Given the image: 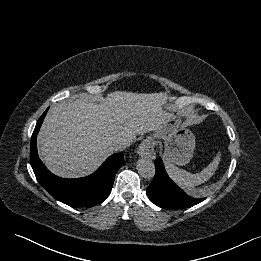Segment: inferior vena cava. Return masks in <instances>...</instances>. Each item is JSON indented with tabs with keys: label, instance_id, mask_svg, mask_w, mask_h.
Masks as SVG:
<instances>
[{
	"label": "inferior vena cava",
	"instance_id": "obj_1",
	"mask_svg": "<svg viewBox=\"0 0 261 261\" xmlns=\"http://www.w3.org/2000/svg\"><path fill=\"white\" fill-rule=\"evenodd\" d=\"M127 146H129V143L125 140H122V139L116 140L113 143V149L114 150H121V149L126 148Z\"/></svg>",
	"mask_w": 261,
	"mask_h": 261
}]
</instances>
